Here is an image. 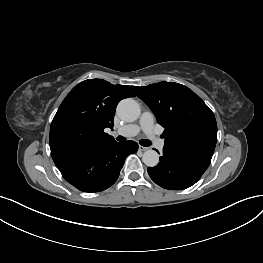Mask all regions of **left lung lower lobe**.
I'll use <instances>...</instances> for the list:
<instances>
[{"instance_id": "0a47b994", "label": "left lung lower lobe", "mask_w": 263, "mask_h": 263, "mask_svg": "<svg viewBox=\"0 0 263 263\" xmlns=\"http://www.w3.org/2000/svg\"><path fill=\"white\" fill-rule=\"evenodd\" d=\"M210 162L185 156L163 148L160 163L148 168L151 179L166 189L181 190L195 184Z\"/></svg>"}]
</instances>
